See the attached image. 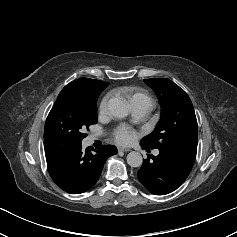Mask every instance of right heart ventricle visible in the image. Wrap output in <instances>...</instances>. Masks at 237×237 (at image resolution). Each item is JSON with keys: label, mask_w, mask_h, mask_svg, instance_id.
Instances as JSON below:
<instances>
[{"label": "right heart ventricle", "mask_w": 237, "mask_h": 237, "mask_svg": "<svg viewBox=\"0 0 237 237\" xmlns=\"http://www.w3.org/2000/svg\"><path fill=\"white\" fill-rule=\"evenodd\" d=\"M120 92L124 94L129 102L133 105L135 103H147L152 106V99L149 94L138 87L127 86L120 89Z\"/></svg>", "instance_id": "e07e8e85"}]
</instances>
